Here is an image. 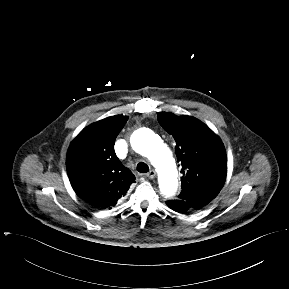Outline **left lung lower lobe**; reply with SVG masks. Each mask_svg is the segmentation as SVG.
Segmentation results:
<instances>
[{
	"mask_svg": "<svg viewBox=\"0 0 289 289\" xmlns=\"http://www.w3.org/2000/svg\"><path fill=\"white\" fill-rule=\"evenodd\" d=\"M166 204L169 208L179 213L194 212L205 206L201 203L182 200V199L169 200V201H166Z\"/></svg>",
	"mask_w": 289,
	"mask_h": 289,
	"instance_id": "left-lung-lower-lobe-1",
	"label": "left lung lower lobe"
}]
</instances>
